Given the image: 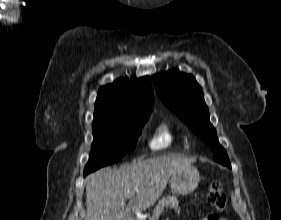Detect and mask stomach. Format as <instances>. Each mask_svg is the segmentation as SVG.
<instances>
[{"mask_svg":"<svg viewBox=\"0 0 281 220\" xmlns=\"http://www.w3.org/2000/svg\"><path fill=\"white\" fill-rule=\"evenodd\" d=\"M200 181V174L197 168L190 166L178 170L172 174L171 189L176 194L186 195L193 192Z\"/></svg>","mask_w":281,"mask_h":220,"instance_id":"stomach-1","label":"stomach"}]
</instances>
